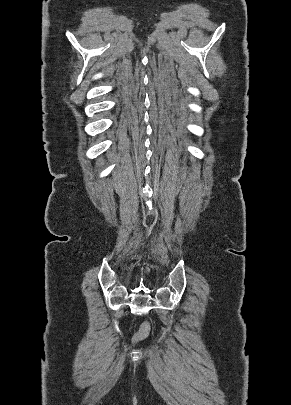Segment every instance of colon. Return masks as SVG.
<instances>
[{"instance_id":"1","label":"colon","mask_w":291,"mask_h":405,"mask_svg":"<svg viewBox=\"0 0 291 405\" xmlns=\"http://www.w3.org/2000/svg\"><path fill=\"white\" fill-rule=\"evenodd\" d=\"M150 332H151V324L150 322L146 321L141 325L140 329L134 336V342H139L146 339L150 335Z\"/></svg>"}]
</instances>
